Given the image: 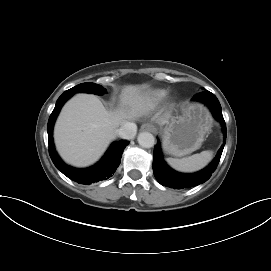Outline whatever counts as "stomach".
I'll return each instance as SVG.
<instances>
[{
	"label": "stomach",
	"mask_w": 271,
	"mask_h": 271,
	"mask_svg": "<svg viewBox=\"0 0 271 271\" xmlns=\"http://www.w3.org/2000/svg\"><path fill=\"white\" fill-rule=\"evenodd\" d=\"M212 122L211 114L202 104H187L181 115L173 116L163 129L164 151L176 157L196 151L201 147Z\"/></svg>",
	"instance_id": "stomach-1"
}]
</instances>
